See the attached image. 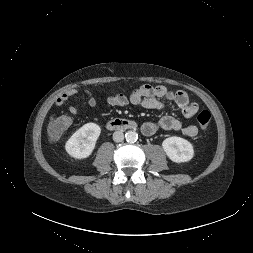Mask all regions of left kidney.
Wrapping results in <instances>:
<instances>
[{"mask_svg":"<svg viewBox=\"0 0 253 253\" xmlns=\"http://www.w3.org/2000/svg\"><path fill=\"white\" fill-rule=\"evenodd\" d=\"M162 147L169 159L176 163L190 161L194 155L192 144L181 137L166 138Z\"/></svg>","mask_w":253,"mask_h":253,"instance_id":"1","label":"left kidney"}]
</instances>
